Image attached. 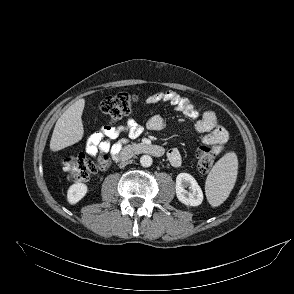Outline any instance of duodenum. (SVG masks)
<instances>
[{
    "label": "duodenum",
    "instance_id": "duodenum-1",
    "mask_svg": "<svg viewBox=\"0 0 294 294\" xmlns=\"http://www.w3.org/2000/svg\"><path fill=\"white\" fill-rule=\"evenodd\" d=\"M137 154H148L154 157H161L164 155V148L156 144H132L121 149L117 158L120 162H125Z\"/></svg>",
    "mask_w": 294,
    "mask_h": 294
}]
</instances>
